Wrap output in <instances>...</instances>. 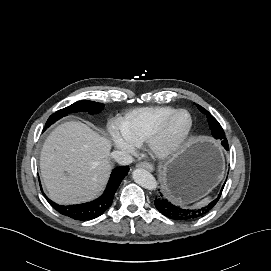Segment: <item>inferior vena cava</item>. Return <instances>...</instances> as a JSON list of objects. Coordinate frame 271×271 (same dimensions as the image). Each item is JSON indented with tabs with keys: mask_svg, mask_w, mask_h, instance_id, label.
<instances>
[{
	"mask_svg": "<svg viewBox=\"0 0 271 271\" xmlns=\"http://www.w3.org/2000/svg\"><path fill=\"white\" fill-rule=\"evenodd\" d=\"M111 157L120 165H129L133 162L132 156L126 151H113Z\"/></svg>",
	"mask_w": 271,
	"mask_h": 271,
	"instance_id": "inferior-vena-cava-1",
	"label": "inferior vena cava"
}]
</instances>
